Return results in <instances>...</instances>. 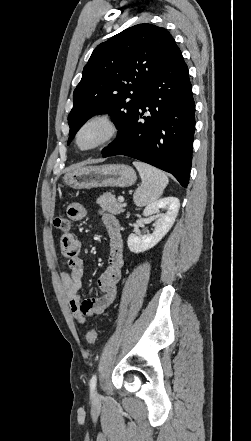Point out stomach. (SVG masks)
Listing matches in <instances>:
<instances>
[{
  "instance_id": "0dacf381",
  "label": "stomach",
  "mask_w": 251,
  "mask_h": 441,
  "mask_svg": "<svg viewBox=\"0 0 251 441\" xmlns=\"http://www.w3.org/2000/svg\"><path fill=\"white\" fill-rule=\"evenodd\" d=\"M134 169L125 164H104L76 168L64 177V183L73 189L97 187H129L136 182Z\"/></svg>"
}]
</instances>
